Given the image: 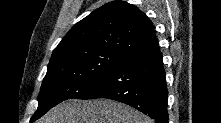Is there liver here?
<instances>
[{
	"label": "liver",
	"instance_id": "1",
	"mask_svg": "<svg viewBox=\"0 0 221 123\" xmlns=\"http://www.w3.org/2000/svg\"><path fill=\"white\" fill-rule=\"evenodd\" d=\"M38 123H153L144 114L112 100H69L55 106Z\"/></svg>",
	"mask_w": 221,
	"mask_h": 123
}]
</instances>
